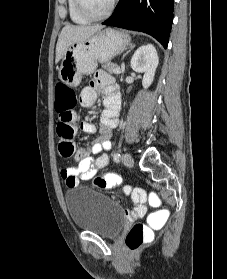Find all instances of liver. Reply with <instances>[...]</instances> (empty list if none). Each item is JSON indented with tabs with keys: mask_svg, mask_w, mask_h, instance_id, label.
Here are the masks:
<instances>
[{
	"mask_svg": "<svg viewBox=\"0 0 227 279\" xmlns=\"http://www.w3.org/2000/svg\"><path fill=\"white\" fill-rule=\"evenodd\" d=\"M103 29L102 25L75 26L65 25L59 35L56 45L55 63L64 56L67 49L74 43L84 41Z\"/></svg>",
	"mask_w": 227,
	"mask_h": 279,
	"instance_id": "1",
	"label": "liver"
}]
</instances>
